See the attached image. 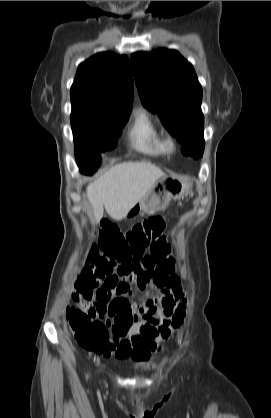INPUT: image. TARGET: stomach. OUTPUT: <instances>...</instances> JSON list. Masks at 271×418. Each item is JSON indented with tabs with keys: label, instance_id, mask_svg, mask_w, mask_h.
I'll list each match as a JSON object with an SVG mask.
<instances>
[{
	"label": "stomach",
	"instance_id": "1",
	"mask_svg": "<svg viewBox=\"0 0 271 418\" xmlns=\"http://www.w3.org/2000/svg\"><path fill=\"white\" fill-rule=\"evenodd\" d=\"M191 181L170 176L159 178L149 192L125 215L132 219L141 213L152 214L165 209L172 200H177L190 192Z\"/></svg>",
	"mask_w": 271,
	"mask_h": 418
}]
</instances>
